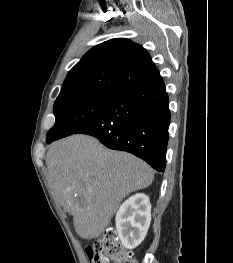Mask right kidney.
Wrapping results in <instances>:
<instances>
[{
  "mask_svg": "<svg viewBox=\"0 0 233 263\" xmlns=\"http://www.w3.org/2000/svg\"><path fill=\"white\" fill-rule=\"evenodd\" d=\"M151 222V204L144 193H137L123 202L116 214L118 236L127 249H134L144 240Z\"/></svg>",
  "mask_w": 233,
  "mask_h": 263,
  "instance_id": "ca27d5eb",
  "label": "right kidney"
}]
</instances>
